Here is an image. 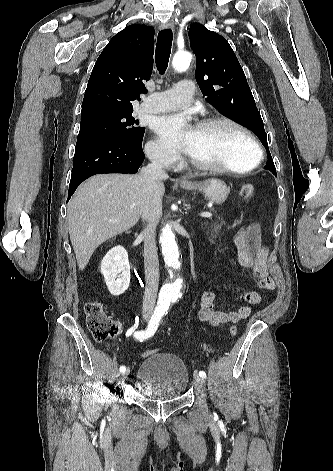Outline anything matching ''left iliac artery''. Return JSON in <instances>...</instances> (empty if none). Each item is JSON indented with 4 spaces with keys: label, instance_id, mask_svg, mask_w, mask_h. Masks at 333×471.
<instances>
[{
    "label": "left iliac artery",
    "instance_id": "44dca946",
    "mask_svg": "<svg viewBox=\"0 0 333 471\" xmlns=\"http://www.w3.org/2000/svg\"><path fill=\"white\" fill-rule=\"evenodd\" d=\"M199 376H200L201 378H206V373H205L204 371H200V372H199Z\"/></svg>",
    "mask_w": 333,
    "mask_h": 471
}]
</instances>
